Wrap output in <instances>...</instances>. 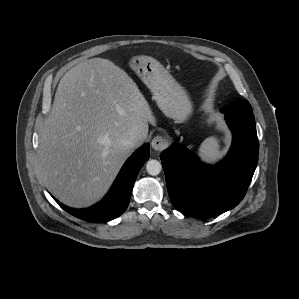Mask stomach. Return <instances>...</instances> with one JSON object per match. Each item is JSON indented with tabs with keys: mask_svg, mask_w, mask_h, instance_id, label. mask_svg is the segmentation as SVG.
I'll return each instance as SVG.
<instances>
[{
	"mask_svg": "<svg viewBox=\"0 0 299 299\" xmlns=\"http://www.w3.org/2000/svg\"><path fill=\"white\" fill-rule=\"evenodd\" d=\"M131 67L153 93L163 113L177 122H185L192 112V105L182 87L155 59L136 56Z\"/></svg>",
	"mask_w": 299,
	"mask_h": 299,
	"instance_id": "1",
	"label": "stomach"
}]
</instances>
